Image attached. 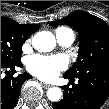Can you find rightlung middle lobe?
Segmentation results:
<instances>
[{
	"label": "right lung middle lobe",
	"instance_id": "1",
	"mask_svg": "<svg viewBox=\"0 0 109 109\" xmlns=\"http://www.w3.org/2000/svg\"><path fill=\"white\" fill-rule=\"evenodd\" d=\"M27 38L20 27L1 22V65L9 66L20 62L22 45Z\"/></svg>",
	"mask_w": 109,
	"mask_h": 109
}]
</instances>
